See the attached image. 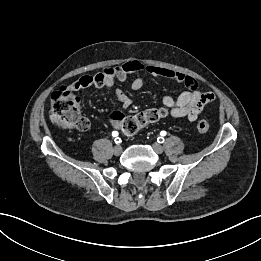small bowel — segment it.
<instances>
[{
    "label": "small bowel",
    "instance_id": "c3829d8e",
    "mask_svg": "<svg viewBox=\"0 0 261 261\" xmlns=\"http://www.w3.org/2000/svg\"><path fill=\"white\" fill-rule=\"evenodd\" d=\"M142 71L153 77H163L183 83L187 87V90L176 98L169 95L162 97L163 105L169 108L170 116L173 118H184L188 122H193L202 113L205 106L215 98L212 92H200L197 82L190 76L160 66H144L138 61H128L115 67L106 68L103 72L94 76H83L78 80L82 84L79 89L98 87L111 90L116 80L124 82L130 75ZM143 86L144 81L142 78H135L131 82V88L134 91L142 89ZM115 95L124 109L131 105L130 97L122 90L117 89ZM118 113L122 114L121 112ZM111 121L116 128H119V122L116 119L111 117Z\"/></svg>",
    "mask_w": 261,
    "mask_h": 261
}]
</instances>
